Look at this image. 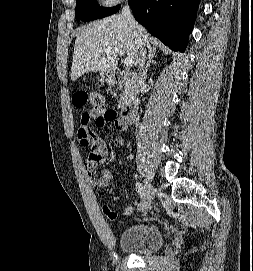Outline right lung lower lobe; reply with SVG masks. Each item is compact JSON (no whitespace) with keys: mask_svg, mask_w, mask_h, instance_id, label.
I'll list each match as a JSON object with an SVG mask.
<instances>
[{"mask_svg":"<svg viewBox=\"0 0 253 271\" xmlns=\"http://www.w3.org/2000/svg\"><path fill=\"white\" fill-rule=\"evenodd\" d=\"M199 0H129L135 19L173 51L184 52Z\"/></svg>","mask_w":253,"mask_h":271,"instance_id":"obj_1","label":"right lung lower lobe"}]
</instances>
